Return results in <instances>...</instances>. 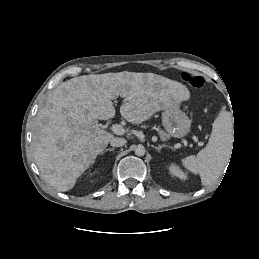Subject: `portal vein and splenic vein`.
Here are the masks:
<instances>
[{
  "instance_id": "18ae733b",
  "label": "portal vein and splenic vein",
  "mask_w": 259,
  "mask_h": 259,
  "mask_svg": "<svg viewBox=\"0 0 259 259\" xmlns=\"http://www.w3.org/2000/svg\"><path fill=\"white\" fill-rule=\"evenodd\" d=\"M111 129L117 135H123L125 133V129L119 124H113ZM194 139L197 141L196 137Z\"/></svg>"
}]
</instances>
